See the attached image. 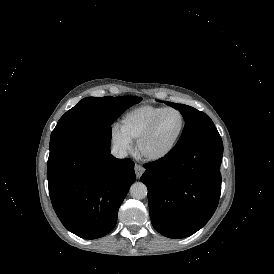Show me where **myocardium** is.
Wrapping results in <instances>:
<instances>
[{"mask_svg": "<svg viewBox=\"0 0 274 274\" xmlns=\"http://www.w3.org/2000/svg\"><path fill=\"white\" fill-rule=\"evenodd\" d=\"M169 111L178 112L181 115V117H182V126H181V129H180L178 135L176 136V138L174 139V141L172 142V144L170 145V147L165 152H163L162 154H159V155H156V156H152V155L146 154L143 151V143H144V141L153 132V130L157 126V124L160 121V119L162 118V116L165 113L169 112ZM186 127H187V118H186V115L183 112V110H181L180 108H177V107H165L160 113H158L151 120V122L146 126V128L142 131V133L137 138V140H136V153H137V156L142 161H145V162H148V163H159V162L164 161L176 149L177 145L179 144L181 138L184 135Z\"/></svg>", "mask_w": 274, "mask_h": 274, "instance_id": "myocardium-1", "label": "myocardium"}]
</instances>
